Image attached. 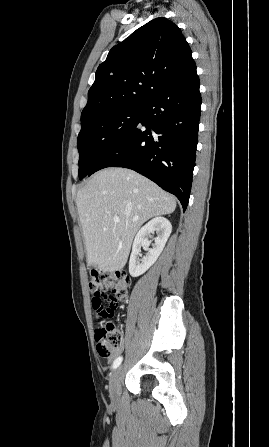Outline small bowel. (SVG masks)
<instances>
[{
  "instance_id": "small-bowel-1",
  "label": "small bowel",
  "mask_w": 269,
  "mask_h": 447,
  "mask_svg": "<svg viewBox=\"0 0 269 447\" xmlns=\"http://www.w3.org/2000/svg\"><path fill=\"white\" fill-rule=\"evenodd\" d=\"M93 301H94V300H93ZM121 351H122V347H121L119 350H117L115 353H113V354L108 358V361H109V362L113 361V359H114L115 357H117V356L121 353Z\"/></svg>"
}]
</instances>
